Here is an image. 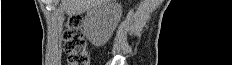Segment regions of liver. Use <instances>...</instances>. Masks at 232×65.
I'll use <instances>...</instances> for the list:
<instances>
[{"instance_id": "1", "label": "liver", "mask_w": 232, "mask_h": 65, "mask_svg": "<svg viewBox=\"0 0 232 65\" xmlns=\"http://www.w3.org/2000/svg\"><path fill=\"white\" fill-rule=\"evenodd\" d=\"M104 0H62V7L69 16L79 15L101 4ZM112 1V0H111Z\"/></svg>"}]
</instances>
